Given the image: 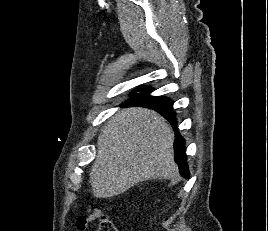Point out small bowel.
Here are the masks:
<instances>
[{"label": "small bowel", "mask_w": 268, "mask_h": 231, "mask_svg": "<svg viewBox=\"0 0 268 231\" xmlns=\"http://www.w3.org/2000/svg\"><path fill=\"white\" fill-rule=\"evenodd\" d=\"M96 211L89 213L87 215H80L76 219V225L79 231H87L88 224L94 220Z\"/></svg>", "instance_id": "1"}]
</instances>
